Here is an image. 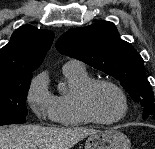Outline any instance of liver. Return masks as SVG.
<instances>
[{
	"label": "liver",
	"mask_w": 155,
	"mask_h": 149,
	"mask_svg": "<svg viewBox=\"0 0 155 149\" xmlns=\"http://www.w3.org/2000/svg\"><path fill=\"white\" fill-rule=\"evenodd\" d=\"M98 132L82 127L46 128L36 125L0 127V149H71Z\"/></svg>",
	"instance_id": "obj_1"
}]
</instances>
